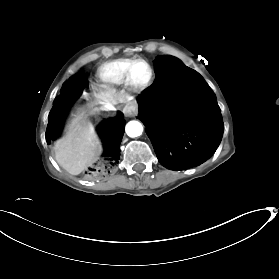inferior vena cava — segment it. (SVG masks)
<instances>
[{
	"label": "inferior vena cava",
	"instance_id": "1",
	"mask_svg": "<svg viewBox=\"0 0 279 279\" xmlns=\"http://www.w3.org/2000/svg\"><path fill=\"white\" fill-rule=\"evenodd\" d=\"M113 103V102H112ZM112 103H110V102H108V104H106L105 106H104V108H101L102 110H105V111H109V110H116L115 108H114V104H112ZM116 104V103H115Z\"/></svg>",
	"mask_w": 279,
	"mask_h": 279
}]
</instances>
